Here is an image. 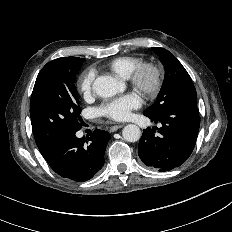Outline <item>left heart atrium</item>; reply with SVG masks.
<instances>
[{
    "label": "left heart atrium",
    "instance_id": "1",
    "mask_svg": "<svg viewBox=\"0 0 232 232\" xmlns=\"http://www.w3.org/2000/svg\"><path fill=\"white\" fill-rule=\"evenodd\" d=\"M142 104L141 98L135 93H129L113 99L99 107V113L115 121L129 118L132 110L138 109Z\"/></svg>",
    "mask_w": 232,
    "mask_h": 232
}]
</instances>
